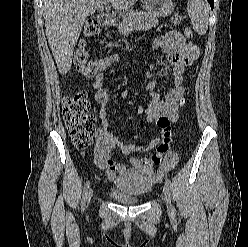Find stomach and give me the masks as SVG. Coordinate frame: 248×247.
<instances>
[{"instance_id":"obj_1","label":"stomach","mask_w":248,"mask_h":247,"mask_svg":"<svg viewBox=\"0 0 248 247\" xmlns=\"http://www.w3.org/2000/svg\"><path fill=\"white\" fill-rule=\"evenodd\" d=\"M143 2L150 13L161 17L171 14L173 11L172 0H143Z\"/></svg>"}]
</instances>
